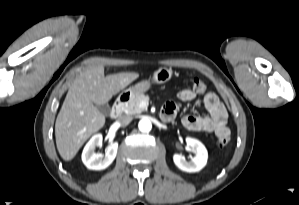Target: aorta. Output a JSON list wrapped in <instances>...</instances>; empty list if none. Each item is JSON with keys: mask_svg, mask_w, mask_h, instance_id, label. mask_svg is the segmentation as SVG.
Wrapping results in <instances>:
<instances>
[{"mask_svg": "<svg viewBox=\"0 0 299 205\" xmlns=\"http://www.w3.org/2000/svg\"><path fill=\"white\" fill-rule=\"evenodd\" d=\"M138 127L141 132H149L152 129V124L148 119H142L140 120Z\"/></svg>", "mask_w": 299, "mask_h": 205, "instance_id": "762f6f07", "label": "aorta"}]
</instances>
